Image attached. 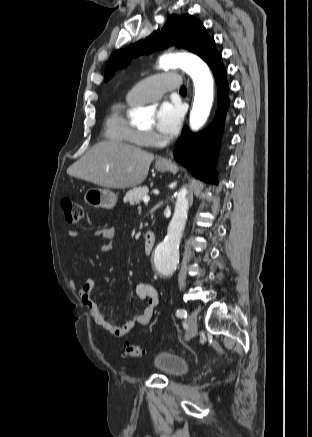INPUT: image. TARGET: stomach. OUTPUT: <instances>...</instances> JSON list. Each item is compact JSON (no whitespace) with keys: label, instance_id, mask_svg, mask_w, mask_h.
Returning <instances> with one entry per match:
<instances>
[{"label":"stomach","instance_id":"obj_1","mask_svg":"<svg viewBox=\"0 0 312 437\" xmlns=\"http://www.w3.org/2000/svg\"><path fill=\"white\" fill-rule=\"evenodd\" d=\"M170 164L156 163L155 167L160 172H165ZM83 199L87 205L93 208L113 209L117 203V195L109 189L88 188Z\"/></svg>","mask_w":312,"mask_h":437}]
</instances>
